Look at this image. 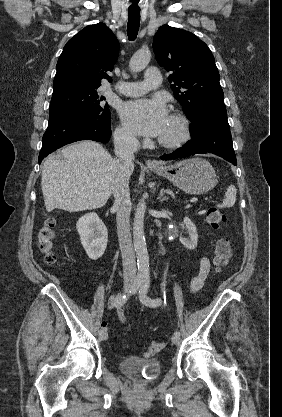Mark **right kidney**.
<instances>
[{"instance_id":"1","label":"right kidney","mask_w":282,"mask_h":417,"mask_svg":"<svg viewBox=\"0 0 282 417\" xmlns=\"http://www.w3.org/2000/svg\"><path fill=\"white\" fill-rule=\"evenodd\" d=\"M76 229L80 235L81 245L89 259L97 261L105 253L108 231L97 213H87L77 221Z\"/></svg>"}]
</instances>
